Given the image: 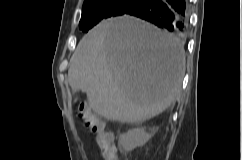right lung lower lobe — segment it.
<instances>
[{
  "instance_id": "98d812e1",
  "label": "right lung lower lobe",
  "mask_w": 242,
  "mask_h": 160,
  "mask_svg": "<svg viewBox=\"0 0 242 160\" xmlns=\"http://www.w3.org/2000/svg\"><path fill=\"white\" fill-rule=\"evenodd\" d=\"M125 14L146 20L179 37L187 31L186 0H141Z\"/></svg>"
}]
</instances>
